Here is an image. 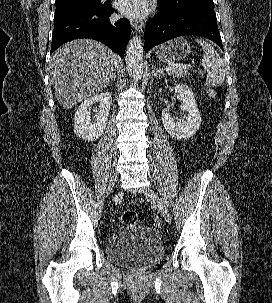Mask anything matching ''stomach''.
I'll return each instance as SVG.
<instances>
[{"label": "stomach", "instance_id": "stomach-1", "mask_svg": "<svg viewBox=\"0 0 272 303\" xmlns=\"http://www.w3.org/2000/svg\"><path fill=\"white\" fill-rule=\"evenodd\" d=\"M190 53V45L182 38H175L158 47L156 57L164 63H174L184 59Z\"/></svg>", "mask_w": 272, "mask_h": 303}]
</instances>
